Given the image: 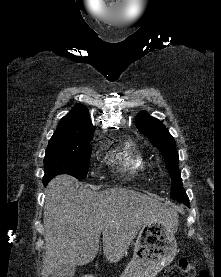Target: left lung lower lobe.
Listing matches in <instances>:
<instances>
[{
	"mask_svg": "<svg viewBox=\"0 0 221 277\" xmlns=\"http://www.w3.org/2000/svg\"><path fill=\"white\" fill-rule=\"evenodd\" d=\"M183 203L189 207V199L184 200Z\"/></svg>",
	"mask_w": 221,
	"mask_h": 277,
	"instance_id": "left-lung-lower-lobe-1",
	"label": "left lung lower lobe"
}]
</instances>
